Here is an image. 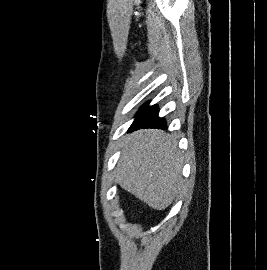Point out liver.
I'll use <instances>...</instances> for the list:
<instances>
[{
  "mask_svg": "<svg viewBox=\"0 0 267 270\" xmlns=\"http://www.w3.org/2000/svg\"><path fill=\"white\" fill-rule=\"evenodd\" d=\"M177 141L162 130L145 129L129 135L122 144L115 181L156 210L175 199L183 179Z\"/></svg>",
  "mask_w": 267,
  "mask_h": 270,
  "instance_id": "6515ba94",
  "label": "liver"
}]
</instances>
